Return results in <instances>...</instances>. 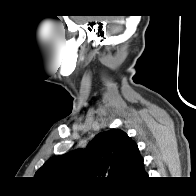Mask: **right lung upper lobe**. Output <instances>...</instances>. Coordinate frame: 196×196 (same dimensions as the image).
Returning a JSON list of instances; mask_svg holds the SVG:
<instances>
[{
    "label": "right lung upper lobe",
    "mask_w": 196,
    "mask_h": 196,
    "mask_svg": "<svg viewBox=\"0 0 196 196\" xmlns=\"http://www.w3.org/2000/svg\"><path fill=\"white\" fill-rule=\"evenodd\" d=\"M145 175L136 143L124 131L112 129L96 136L85 150L50 158L35 177L49 185L105 177L116 184H132Z\"/></svg>",
    "instance_id": "1"
}]
</instances>
